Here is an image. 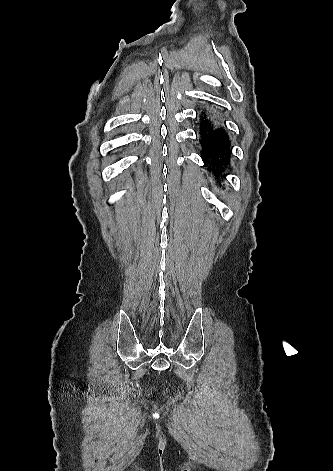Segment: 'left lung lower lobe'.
Returning <instances> with one entry per match:
<instances>
[{
  "label": "left lung lower lobe",
  "instance_id": "1",
  "mask_svg": "<svg viewBox=\"0 0 333 471\" xmlns=\"http://www.w3.org/2000/svg\"><path fill=\"white\" fill-rule=\"evenodd\" d=\"M201 158L216 176L218 183L224 180L225 168L230 162V142L220 120L211 110H203L199 120Z\"/></svg>",
  "mask_w": 333,
  "mask_h": 471
}]
</instances>
